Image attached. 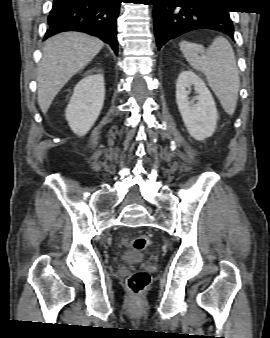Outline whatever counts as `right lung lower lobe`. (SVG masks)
Returning a JSON list of instances; mask_svg holds the SVG:
<instances>
[{
    "label": "right lung lower lobe",
    "mask_w": 270,
    "mask_h": 338,
    "mask_svg": "<svg viewBox=\"0 0 270 338\" xmlns=\"http://www.w3.org/2000/svg\"><path fill=\"white\" fill-rule=\"evenodd\" d=\"M122 0H54L44 39L64 31H80L99 37L115 53L116 19Z\"/></svg>",
    "instance_id": "1"
}]
</instances>
